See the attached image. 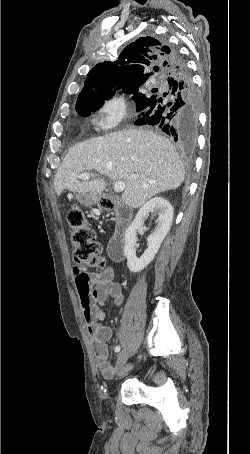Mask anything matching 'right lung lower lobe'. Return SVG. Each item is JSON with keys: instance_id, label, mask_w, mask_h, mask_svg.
<instances>
[{"instance_id": "right-lung-lower-lobe-1", "label": "right lung lower lobe", "mask_w": 250, "mask_h": 454, "mask_svg": "<svg viewBox=\"0 0 250 454\" xmlns=\"http://www.w3.org/2000/svg\"><path fill=\"white\" fill-rule=\"evenodd\" d=\"M170 69L164 77L168 92L156 95L137 112L135 125H150L162 130L175 141L192 145L198 127V108L191 75L181 54L167 45Z\"/></svg>"}]
</instances>
